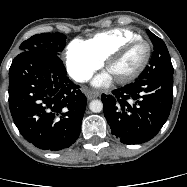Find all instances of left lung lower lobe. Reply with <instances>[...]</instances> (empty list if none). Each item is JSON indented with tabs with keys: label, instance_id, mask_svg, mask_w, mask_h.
Segmentation results:
<instances>
[{
	"label": "left lung lower lobe",
	"instance_id": "left-lung-lower-lobe-1",
	"mask_svg": "<svg viewBox=\"0 0 187 187\" xmlns=\"http://www.w3.org/2000/svg\"><path fill=\"white\" fill-rule=\"evenodd\" d=\"M173 75L136 80L112 94H102L111 132L125 144L152 139L167 121L172 106Z\"/></svg>",
	"mask_w": 187,
	"mask_h": 187
}]
</instances>
